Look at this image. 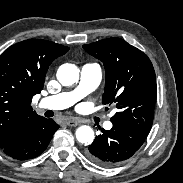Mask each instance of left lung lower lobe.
I'll return each instance as SVG.
<instances>
[{
	"mask_svg": "<svg viewBox=\"0 0 183 183\" xmlns=\"http://www.w3.org/2000/svg\"><path fill=\"white\" fill-rule=\"evenodd\" d=\"M112 123V129H103V134L97 136L86 151V156L91 161L104 167L117 165L130 158L148 135L131 124Z\"/></svg>",
	"mask_w": 183,
	"mask_h": 183,
	"instance_id": "obj_1",
	"label": "left lung lower lobe"
}]
</instances>
